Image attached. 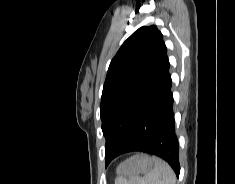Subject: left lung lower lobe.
I'll return each instance as SVG.
<instances>
[{
  "label": "left lung lower lobe",
  "mask_w": 235,
  "mask_h": 184,
  "mask_svg": "<svg viewBox=\"0 0 235 184\" xmlns=\"http://www.w3.org/2000/svg\"><path fill=\"white\" fill-rule=\"evenodd\" d=\"M169 68L166 49L152 90L137 115L130 136L117 156L133 151L156 155L168 162L179 177L178 140L175 134Z\"/></svg>",
  "instance_id": "obj_1"
}]
</instances>
